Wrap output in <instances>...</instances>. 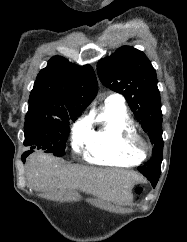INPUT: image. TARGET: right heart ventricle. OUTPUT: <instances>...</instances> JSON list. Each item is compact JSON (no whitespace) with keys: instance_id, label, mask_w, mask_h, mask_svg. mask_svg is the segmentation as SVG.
I'll list each match as a JSON object with an SVG mask.
<instances>
[{"instance_id":"1","label":"right heart ventricle","mask_w":187,"mask_h":242,"mask_svg":"<svg viewBox=\"0 0 187 242\" xmlns=\"http://www.w3.org/2000/svg\"><path fill=\"white\" fill-rule=\"evenodd\" d=\"M87 123L83 156L89 163L129 167L143 160L125 145L126 133L136 129L123 103L105 101Z\"/></svg>"}]
</instances>
